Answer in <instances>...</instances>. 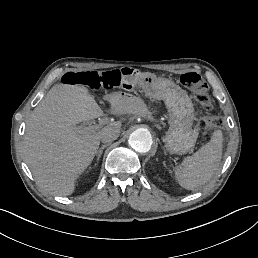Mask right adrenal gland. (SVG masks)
Returning <instances> with one entry per match:
<instances>
[{"label":"right adrenal gland","instance_id":"obj_1","mask_svg":"<svg viewBox=\"0 0 258 258\" xmlns=\"http://www.w3.org/2000/svg\"><path fill=\"white\" fill-rule=\"evenodd\" d=\"M109 145V143L103 144L100 149H97L95 153H98L97 161L100 159L104 149Z\"/></svg>","mask_w":258,"mask_h":258}]
</instances>
